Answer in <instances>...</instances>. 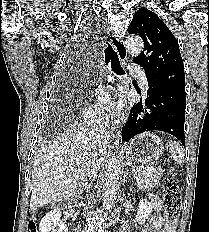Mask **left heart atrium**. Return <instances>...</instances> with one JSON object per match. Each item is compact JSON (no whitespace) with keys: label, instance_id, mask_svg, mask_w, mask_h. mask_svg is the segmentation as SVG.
I'll list each match as a JSON object with an SVG mask.
<instances>
[{"label":"left heart atrium","instance_id":"39dd6f15","mask_svg":"<svg viewBox=\"0 0 209 232\" xmlns=\"http://www.w3.org/2000/svg\"><path fill=\"white\" fill-rule=\"evenodd\" d=\"M98 106L103 111L110 110L114 105L112 91L109 88H102L96 95Z\"/></svg>","mask_w":209,"mask_h":232}]
</instances>
